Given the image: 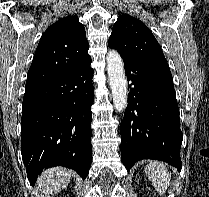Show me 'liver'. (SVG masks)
Instances as JSON below:
<instances>
[{
  "label": "liver",
  "instance_id": "6515ba94",
  "mask_svg": "<svg viewBox=\"0 0 209 197\" xmlns=\"http://www.w3.org/2000/svg\"><path fill=\"white\" fill-rule=\"evenodd\" d=\"M71 171L56 167L43 172L38 180V185L42 193L54 194L66 188L71 178Z\"/></svg>",
  "mask_w": 209,
  "mask_h": 197
}]
</instances>
